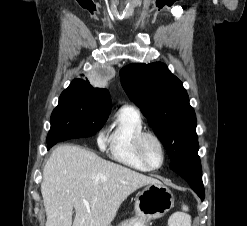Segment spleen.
Masks as SVG:
<instances>
[{
	"mask_svg": "<svg viewBox=\"0 0 247 226\" xmlns=\"http://www.w3.org/2000/svg\"><path fill=\"white\" fill-rule=\"evenodd\" d=\"M188 211V206L182 205V211L176 212L169 217V226H191V216L186 212Z\"/></svg>",
	"mask_w": 247,
	"mask_h": 226,
	"instance_id": "obj_1",
	"label": "spleen"
}]
</instances>
